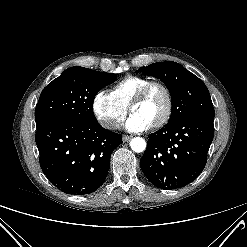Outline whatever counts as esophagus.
Instances as JSON below:
<instances>
[{
  "label": "esophagus",
  "mask_w": 247,
  "mask_h": 247,
  "mask_svg": "<svg viewBox=\"0 0 247 247\" xmlns=\"http://www.w3.org/2000/svg\"><path fill=\"white\" fill-rule=\"evenodd\" d=\"M122 139H123V142H128L131 139V136L123 135Z\"/></svg>",
  "instance_id": "34e87169"
}]
</instances>
